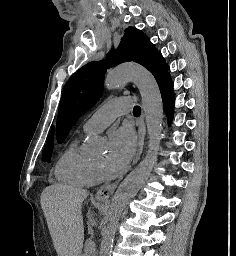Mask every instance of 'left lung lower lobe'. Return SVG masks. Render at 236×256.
Segmentation results:
<instances>
[{"mask_svg": "<svg viewBox=\"0 0 236 256\" xmlns=\"http://www.w3.org/2000/svg\"><path fill=\"white\" fill-rule=\"evenodd\" d=\"M157 83L160 88V92H161L162 100L166 110V114L168 117V121L170 122V120L172 119L173 108H174V92H173V84L169 76V73H166L163 77H161L157 81Z\"/></svg>", "mask_w": 236, "mask_h": 256, "instance_id": "0a47b994", "label": "left lung lower lobe"}]
</instances>
